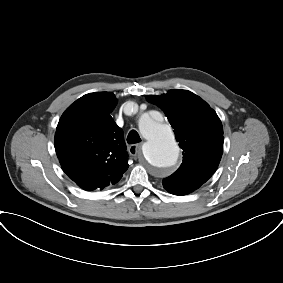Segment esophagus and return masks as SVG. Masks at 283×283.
Listing matches in <instances>:
<instances>
[{"instance_id":"obj_1","label":"esophagus","mask_w":283,"mask_h":283,"mask_svg":"<svg viewBox=\"0 0 283 283\" xmlns=\"http://www.w3.org/2000/svg\"><path fill=\"white\" fill-rule=\"evenodd\" d=\"M141 145L142 144H132L128 147V152L131 156H139L141 155Z\"/></svg>"}]
</instances>
